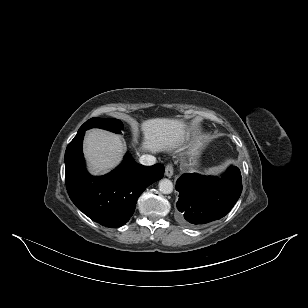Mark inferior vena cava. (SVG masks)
I'll return each instance as SVG.
<instances>
[{"instance_id": "inferior-vena-cava-1", "label": "inferior vena cava", "mask_w": 308, "mask_h": 308, "mask_svg": "<svg viewBox=\"0 0 308 308\" xmlns=\"http://www.w3.org/2000/svg\"><path fill=\"white\" fill-rule=\"evenodd\" d=\"M139 162L142 165L150 166V165H154L156 163V158L152 155L145 154V155H142L139 158Z\"/></svg>"}]
</instances>
